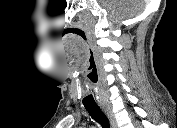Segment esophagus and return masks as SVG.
<instances>
[{"label":"esophagus","mask_w":177,"mask_h":128,"mask_svg":"<svg viewBox=\"0 0 177 128\" xmlns=\"http://www.w3.org/2000/svg\"><path fill=\"white\" fill-rule=\"evenodd\" d=\"M101 109L104 112V114L107 116V118L111 124V127L118 128L117 122L115 120V117L113 115L111 108L107 105H101Z\"/></svg>","instance_id":"obj_1"}]
</instances>
